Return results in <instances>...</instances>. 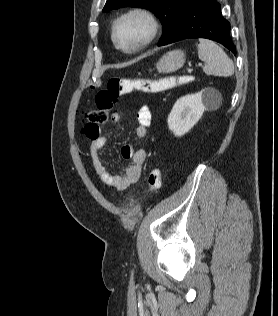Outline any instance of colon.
<instances>
[{
	"instance_id": "obj_1",
	"label": "colon",
	"mask_w": 278,
	"mask_h": 316,
	"mask_svg": "<svg viewBox=\"0 0 278 316\" xmlns=\"http://www.w3.org/2000/svg\"><path fill=\"white\" fill-rule=\"evenodd\" d=\"M179 81L176 78L165 80L110 78L106 88L100 90L95 96L96 108L83 114V121L85 122L84 132L94 135L99 131L100 125L108 121L109 113L115 107L119 96L134 90L154 93ZM161 185V171L158 168H153L148 174L147 190L149 193H156L161 188Z\"/></svg>"
}]
</instances>
